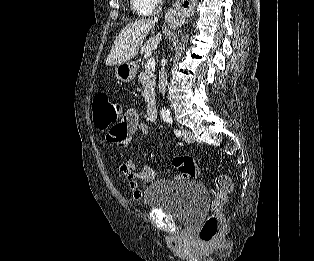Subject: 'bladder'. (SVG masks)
I'll list each match as a JSON object with an SVG mask.
<instances>
[{
  "mask_svg": "<svg viewBox=\"0 0 314 261\" xmlns=\"http://www.w3.org/2000/svg\"><path fill=\"white\" fill-rule=\"evenodd\" d=\"M144 202L147 207L161 209L192 226L208 206V189L197 181L159 180L148 186Z\"/></svg>",
  "mask_w": 314,
  "mask_h": 261,
  "instance_id": "bladder-1",
  "label": "bladder"
}]
</instances>
